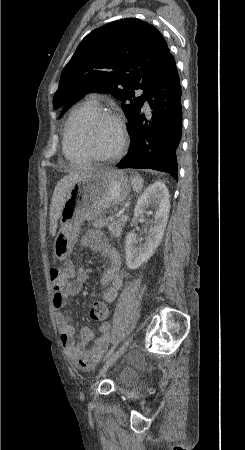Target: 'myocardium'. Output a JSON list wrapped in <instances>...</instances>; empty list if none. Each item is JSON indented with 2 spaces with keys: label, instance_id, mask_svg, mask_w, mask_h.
I'll return each instance as SVG.
<instances>
[{
  "label": "myocardium",
  "instance_id": "f54148a6",
  "mask_svg": "<svg viewBox=\"0 0 245 450\" xmlns=\"http://www.w3.org/2000/svg\"><path fill=\"white\" fill-rule=\"evenodd\" d=\"M104 118L111 120L117 125L119 134H120V142L115 151H113L110 154L107 155H95L91 153L83 144L80 143L77 137V133L75 130V122L76 120L71 121V137L73 145L76 149H78L82 154H84L88 159L98 161V162H108L118 159L120 156L123 155L125 152L128 142H129V135L127 131V127L121 116H119L117 113L108 110V109H95L83 118L81 120L85 123V125H90L97 119Z\"/></svg>",
  "mask_w": 245,
  "mask_h": 450
}]
</instances>
